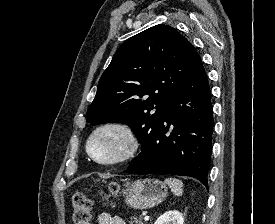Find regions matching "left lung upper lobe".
Here are the masks:
<instances>
[{
	"mask_svg": "<svg viewBox=\"0 0 275 224\" xmlns=\"http://www.w3.org/2000/svg\"><path fill=\"white\" fill-rule=\"evenodd\" d=\"M202 66L193 45L176 29L153 26L118 48L99 80L87 121L127 124L144 146L170 100Z\"/></svg>",
	"mask_w": 275,
	"mask_h": 224,
	"instance_id": "1",
	"label": "left lung upper lobe"
}]
</instances>
